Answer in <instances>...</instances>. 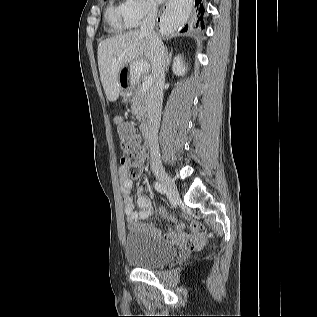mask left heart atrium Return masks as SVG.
Here are the masks:
<instances>
[{
    "mask_svg": "<svg viewBox=\"0 0 317 317\" xmlns=\"http://www.w3.org/2000/svg\"><path fill=\"white\" fill-rule=\"evenodd\" d=\"M163 0H153L155 3H161Z\"/></svg>",
    "mask_w": 317,
    "mask_h": 317,
    "instance_id": "obj_1",
    "label": "left heart atrium"
}]
</instances>
